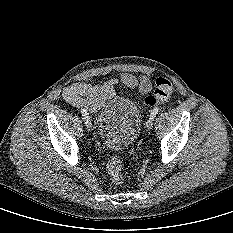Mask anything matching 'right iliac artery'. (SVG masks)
Masks as SVG:
<instances>
[{
    "label": "right iliac artery",
    "instance_id": "1",
    "mask_svg": "<svg viewBox=\"0 0 233 233\" xmlns=\"http://www.w3.org/2000/svg\"><path fill=\"white\" fill-rule=\"evenodd\" d=\"M81 114H82V116H83V119L86 121V122H88L89 121V118H88V113H87V111L86 110H81Z\"/></svg>",
    "mask_w": 233,
    "mask_h": 233
}]
</instances>
